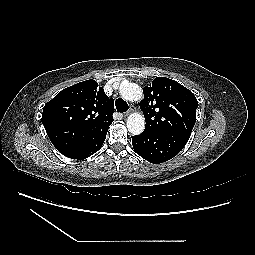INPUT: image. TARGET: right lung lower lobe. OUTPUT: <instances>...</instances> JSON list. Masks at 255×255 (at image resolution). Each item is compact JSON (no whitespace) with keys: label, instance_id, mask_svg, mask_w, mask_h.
<instances>
[{"label":"right lung lower lobe","instance_id":"98d812e1","mask_svg":"<svg viewBox=\"0 0 255 255\" xmlns=\"http://www.w3.org/2000/svg\"><path fill=\"white\" fill-rule=\"evenodd\" d=\"M108 130L101 131L91 136L75 152L68 157L77 160H83L96 153L103 145Z\"/></svg>","mask_w":255,"mask_h":255}]
</instances>
